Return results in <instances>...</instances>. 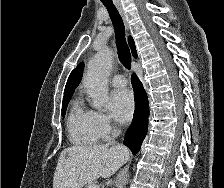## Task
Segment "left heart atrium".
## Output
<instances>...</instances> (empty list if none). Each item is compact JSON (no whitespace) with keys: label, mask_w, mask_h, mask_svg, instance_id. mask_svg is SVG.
<instances>
[{"label":"left heart atrium","mask_w":224,"mask_h":188,"mask_svg":"<svg viewBox=\"0 0 224 188\" xmlns=\"http://www.w3.org/2000/svg\"><path fill=\"white\" fill-rule=\"evenodd\" d=\"M109 106L113 117L120 123H128L133 115L134 100L127 89L115 90L110 95Z\"/></svg>","instance_id":"left-heart-atrium-1"}]
</instances>
